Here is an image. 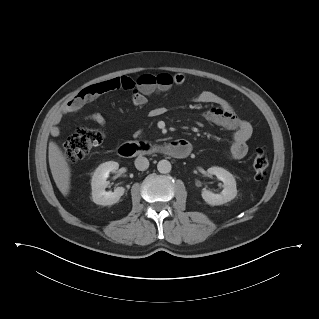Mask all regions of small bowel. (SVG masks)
<instances>
[{
	"mask_svg": "<svg viewBox=\"0 0 319 319\" xmlns=\"http://www.w3.org/2000/svg\"><path fill=\"white\" fill-rule=\"evenodd\" d=\"M163 76V82L148 91L133 90L131 93L133 104L143 106L147 103L148 96L157 92L166 91L173 84L180 86L185 83V76L181 73L175 75L163 74ZM128 79V77H113L84 88L64 104L55 123L51 127V134L53 136L59 135L60 127L58 124L62 116L77 113L85 104L120 88V84ZM194 100L198 103L212 105V107L204 113L206 120L233 131V141L227 150V155L233 160L244 158L248 152L247 141L252 135V125L248 121L239 118L231 104L213 92H199L194 96ZM151 114L153 116L161 115L162 109L155 107L151 110ZM85 118L99 125L106 123L105 117L99 112L91 113Z\"/></svg>",
	"mask_w": 319,
	"mask_h": 319,
	"instance_id": "c3829d8e",
	"label": "small bowel"
}]
</instances>
